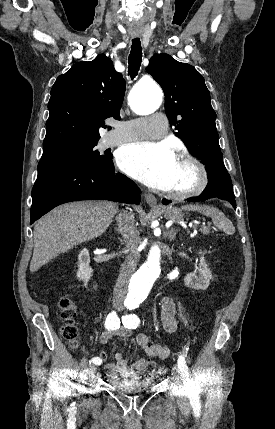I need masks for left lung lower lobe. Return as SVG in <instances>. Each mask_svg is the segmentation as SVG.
I'll return each mask as SVG.
<instances>
[{
  "instance_id": "1",
  "label": "left lung lower lobe",
  "mask_w": 275,
  "mask_h": 429,
  "mask_svg": "<svg viewBox=\"0 0 275 429\" xmlns=\"http://www.w3.org/2000/svg\"><path fill=\"white\" fill-rule=\"evenodd\" d=\"M209 198H219L226 200L231 203L234 209H236L235 195L233 192L232 182L225 180H212L209 181L207 187L202 194L194 199H189V202L203 201ZM163 204L167 205L171 201L163 199Z\"/></svg>"
}]
</instances>
